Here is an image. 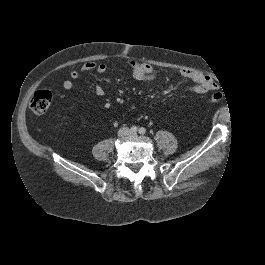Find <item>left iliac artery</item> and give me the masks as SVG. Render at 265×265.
<instances>
[{"instance_id": "44dca946", "label": "left iliac artery", "mask_w": 265, "mask_h": 265, "mask_svg": "<svg viewBox=\"0 0 265 265\" xmlns=\"http://www.w3.org/2000/svg\"><path fill=\"white\" fill-rule=\"evenodd\" d=\"M139 133H140L141 135H144V134L146 133V129H145L144 127H141V128L139 129Z\"/></svg>"}]
</instances>
